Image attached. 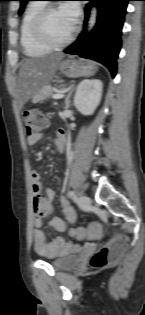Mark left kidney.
<instances>
[{
	"instance_id": "obj_1",
	"label": "left kidney",
	"mask_w": 145,
	"mask_h": 315,
	"mask_svg": "<svg viewBox=\"0 0 145 315\" xmlns=\"http://www.w3.org/2000/svg\"><path fill=\"white\" fill-rule=\"evenodd\" d=\"M103 84L98 79H85L76 89L74 105L84 114H92L100 103Z\"/></svg>"
}]
</instances>
